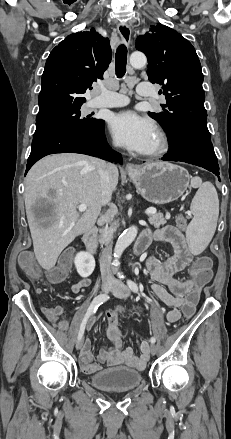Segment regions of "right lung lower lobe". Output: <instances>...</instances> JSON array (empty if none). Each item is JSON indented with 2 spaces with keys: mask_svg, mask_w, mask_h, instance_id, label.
Wrapping results in <instances>:
<instances>
[{
  "mask_svg": "<svg viewBox=\"0 0 231 439\" xmlns=\"http://www.w3.org/2000/svg\"><path fill=\"white\" fill-rule=\"evenodd\" d=\"M82 153L108 161L121 162V156L107 144L104 121L99 129L90 132L56 131L34 137L26 172L42 157L54 153Z\"/></svg>",
  "mask_w": 231,
  "mask_h": 439,
  "instance_id": "1",
  "label": "right lung lower lobe"
}]
</instances>
